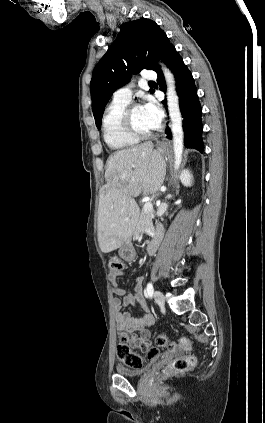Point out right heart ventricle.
Masks as SVG:
<instances>
[{"instance_id": "e07e8e85", "label": "right heart ventricle", "mask_w": 265, "mask_h": 423, "mask_svg": "<svg viewBox=\"0 0 265 423\" xmlns=\"http://www.w3.org/2000/svg\"><path fill=\"white\" fill-rule=\"evenodd\" d=\"M127 102L113 100L105 110L102 126L106 144L113 150L121 151L135 147L139 140L130 136L122 127L121 115Z\"/></svg>"}]
</instances>
